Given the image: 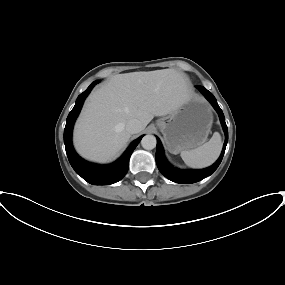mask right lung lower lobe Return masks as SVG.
<instances>
[{
	"label": "right lung lower lobe",
	"instance_id": "obj_1",
	"mask_svg": "<svg viewBox=\"0 0 285 285\" xmlns=\"http://www.w3.org/2000/svg\"><path fill=\"white\" fill-rule=\"evenodd\" d=\"M98 81L93 82L76 100V104L69 113L64 130V143L69 162L75 172L84 180L93 185H109L121 180L129 168V159L143 136L133 141L125 153L116 162L110 165L92 164L77 155L72 146V129L83 102Z\"/></svg>",
	"mask_w": 285,
	"mask_h": 285
}]
</instances>
